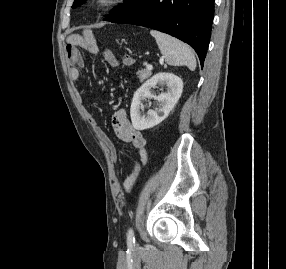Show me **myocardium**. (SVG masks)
<instances>
[{
	"mask_svg": "<svg viewBox=\"0 0 286 269\" xmlns=\"http://www.w3.org/2000/svg\"><path fill=\"white\" fill-rule=\"evenodd\" d=\"M124 0H91V4L98 9L113 8L120 5Z\"/></svg>",
	"mask_w": 286,
	"mask_h": 269,
	"instance_id": "obj_1",
	"label": "myocardium"
}]
</instances>
